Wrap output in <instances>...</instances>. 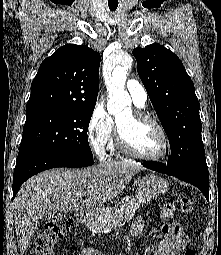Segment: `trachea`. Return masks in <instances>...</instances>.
<instances>
[{"mask_svg":"<svg viewBox=\"0 0 221 255\" xmlns=\"http://www.w3.org/2000/svg\"><path fill=\"white\" fill-rule=\"evenodd\" d=\"M110 10H111V11H115V10H116V8H110Z\"/></svg>","mask_w":221,"mask_h":255,"instance_id":"trachea-1","label":"trachea"}]
</instances>
